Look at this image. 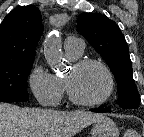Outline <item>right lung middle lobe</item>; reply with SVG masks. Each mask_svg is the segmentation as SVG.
Listing matches in <instances>:
<instances>
[{"label":"right lung middle lobe","mask_w":144,"mask_h":137,"mask_svg":"<svg viewBox=\"0 0 144 137\" xmlns=\"http://www.w3.org/2000/svg\"><path fill=\"white\" fill-rule=\"evenodd\" d=\"M34 59H21L0 63V102L28 100L27 77Z\"/></svg>","instance_id":"obj_1"}]
</instances>
